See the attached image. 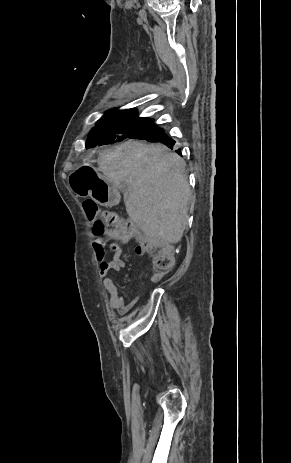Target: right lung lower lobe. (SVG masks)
Segmentation results:
<instances>
[{
    "label": "right lung lower lobe",
    "instance_id": "right-lung-lower-lobe-1",
    "mask_svg": "<svg viewBox=\"0 0 291 463\" xmlns=\"http://www.w3.org/2000/svg\"><path fill=\"white\" fill-rule=\"evenodd\" d=\"M149 142H160L168 146L169 148H173L175 141L170 139L164 132H161L151 138L145 139ZM179 155H181L180 149L176 151Z\"/></svg>",
    "mask_w": 291,
    "mask_h": 463
}]
</instances>
